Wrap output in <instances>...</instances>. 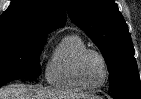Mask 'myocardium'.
Here are the masks:
<instances>
[{
	"label": "myocardium",
	"mask_w": 141,
	"mask_h": 99,
	"mask_svg": "<svg viewBox=\"0 0 141 99\" xmlns=\"http://www.w3.org/2000/svg\"><path fill=\"white\" fill-rule=\"evenodd\" d=\"M89 54L97 55L101 59L103 66H104L105 76H104L103 81L99 85H90L89 83H87V81L84 79V76L82 73L83 61H84L85 57ZM75 72H76V76H77L79 82L84 87H86L87 89H90V90H97V89L102 88L107 83L109 76H110L109 65H108V61H107L105 55L97 49L87 48V47L85 49H83L79 53V55L77 56L76 64H75Z\"/></svg>",
	"instance_id": "obj_1"
}]
</instances>
